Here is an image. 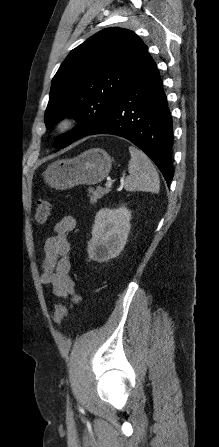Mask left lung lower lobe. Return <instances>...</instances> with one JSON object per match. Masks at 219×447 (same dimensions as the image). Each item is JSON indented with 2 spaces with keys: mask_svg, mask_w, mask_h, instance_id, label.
<instances>
[{
  "mask_svg": "<svg viewBox=\"0 0 219 447\" xmlns=\"http://www.w3.org/2000/svg\"><path fill=\"white\" fill-rule=\"evenodd\" d=\"M95 134L128 139L154 161L167 184L171 182V113L157 66L148 53L128 85L87 135Z\"/></svg>",
  "mask_w": 219,
  "mask_h": 447,
  "instance_id": "obj_1",
  "label": "left lung lower lobe"
}]
</instances>
